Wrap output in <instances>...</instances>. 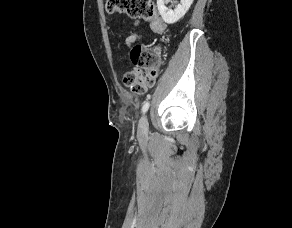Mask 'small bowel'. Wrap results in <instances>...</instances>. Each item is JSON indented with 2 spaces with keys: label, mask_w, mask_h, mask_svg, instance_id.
Wrapping results in <instances>:
<instances>
[{
  "label": "small bowel",
  "mask_w": 292,
  "mask_h": 228,
  "mask_svg": "<svg viewBox=\"0 0 292 228\" xmlns=\"http://www.w3.org/2000/svg\"><path fill=\"white\" fill-rule=\"evenodd\" d=\"M141 37H142V35H136V34L128 36L127 39H126L127 46H129V47L132 46L136 41L140 40ZM154 82H153V84L151 86L154 85Z\"/></svg>",
  "instance_id": "obj_1"
}]
</instances>
